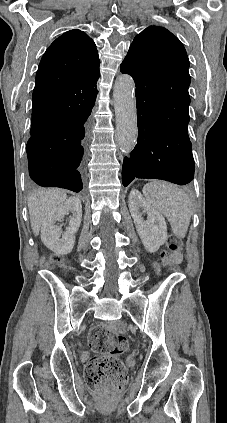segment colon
Here are the masks:
<instances>
[{"mask_svg":"<svg viewBox=\"0 0 227 423\" xmlns=\"http://www.w3.org/2000/svg\"><path fill=\"white\" fill-rule=\"evenodd\" d=\"M179 253V242L175 236L169 239L168 249L162 255L164 263L174 259ZM54 262H61L57 255ZM89 346L94 355L86 365V383L90 388L99 390L103 395L120 392L127 381V370L119 356L128 349V341L120 326L103 324L95 327L89 334Z\"/></svg>","mask_w":227,"mask_h":423,"instance_id":"5ec220e1","label":"colon"}]
</instances>
